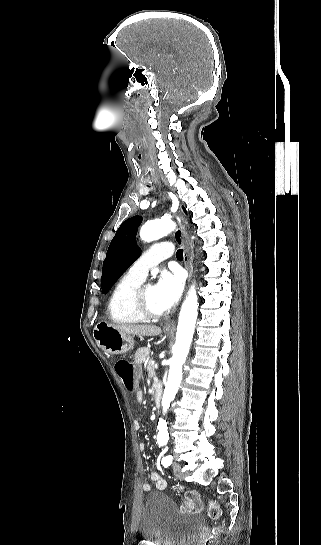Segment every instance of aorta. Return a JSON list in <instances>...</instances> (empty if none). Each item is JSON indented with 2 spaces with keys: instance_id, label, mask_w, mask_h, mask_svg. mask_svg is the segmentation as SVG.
<instances>
[{
  "instance_id": "1",
  "label": "aorta",
  "mask_w": 321,
  "mask_h": 545,
  "mask_svg": "<svg viewBox=\"0 0 321 545\" xmlns=\"http://www.w3.org/2000/svg\"><path fill=\"white\" fill-rule=\"evenodd\" d=\"M175 228V223L169 219H159L146 222L140 230V238L144 242L158 240ZM198 315V297L195 287L192 286L187 298L185 299L177 326L176 342L173 346V356L170 360V369L168 381L165 385L162 407L166 413L170 403L174 400L182 380V366L189 353L191 341L194 334L195 323ZM157 442L160 445H165L168 442L169 434L166 421L160 419L158 426Z\"/></svg>"
}]
</instances>
